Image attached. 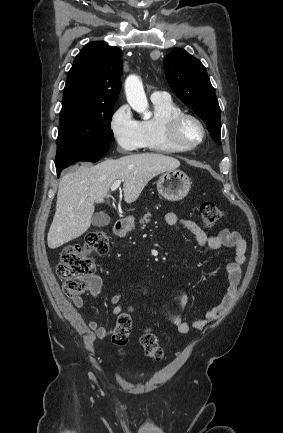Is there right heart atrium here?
<instances>
[{
  "instance_id": "obj_1",
  "label": "right heart atrium",
  "mask_w": 283,
  "mask_h": 433,
  "mask_svg": "<svg viewBox=\"0 0 283 433\" xmlns=\"http://www.w3.org/2000/svg\"><path fill=\"white\" fill-rule=\"evenodd\" d=\"M109 131L116 151L127 155L140 150L146 145L141 122L138 121L127 104L117 105L108 121Z\"/></svg>"
}]
</instances>
